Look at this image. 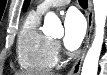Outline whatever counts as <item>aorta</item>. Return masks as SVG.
Masks as SVG:
<instances>
[{
  "label": "aorta",
  "instance_id": "aorta-1",
  "mask_svg": "<svg viewBox=\"0 0 107 75\" xmlns=\"http://www.w3.org/2000/svg\"><path fill=\"white\" fill-rule=\"evenodd\" d=\"M95 12V37L88 50L81 75H97L98 61L104 40V28L107 18V0H93ZM44 32L53 36L64 33L59 18L53 12H48L44 18Z\"/></svg>",
  "mask_w": 107,
  "mask_h": 75
}]
</instances>
